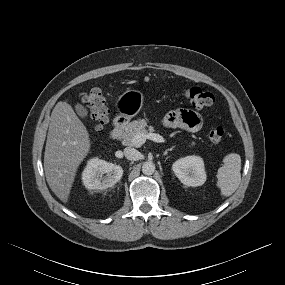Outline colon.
I'll use <instances>...</instances> for the list:
<instances>
[{
  "mask_svg": "<svg viewBox=\"0 0 285 285\" xmlns=\"http://www.w3.org/2000/svg\"><path fill=\"white\" fill-rule=\"evenodd\" d=\"M184 95L190 105L197 109L211 106L214 102V96L199 87L185 89ZM83 102L90 110L89 117L95 129L101 130L109 117V110L103 93L97 88L91 89L83 97ZM225 133L226 130L221 125L212 127L208 134L210 143L214 146L218 145L223 140Z\"/></svg>",
  "mask_w": 285,
  "mask_h": 285,
  "instance_id": "obj_1",
  "label": "colon"
}]
</instances>
